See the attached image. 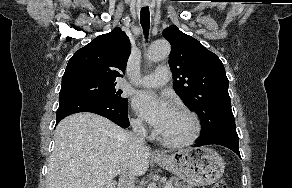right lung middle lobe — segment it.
<instances>
[{"mask_svg":"<svg viewBox=\"0 0 292 188\" xmlns=\"http://www.w3.org/2000/svg\"><path fill=\"white\" fill-rule=\"evenodd\" d=\"M115 81H108L89 77H78L62 80L59 96L79 94L89 97L99 103L121 108L128 104L127 99L121 97V90H117Z\"/></svg>","mask_w":292,"mask_h":188,"instance_id":"right-lung-middle-lobe-1","label":"right lung middle lobe"}]
</instances>
